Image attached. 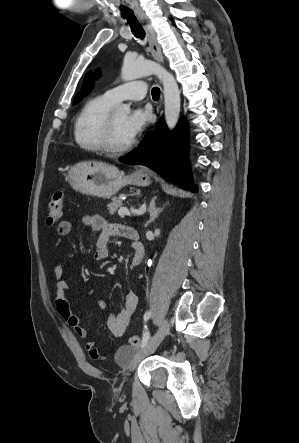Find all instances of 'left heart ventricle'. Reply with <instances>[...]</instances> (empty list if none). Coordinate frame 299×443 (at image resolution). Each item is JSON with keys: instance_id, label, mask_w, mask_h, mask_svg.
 Returning <instances> with one entry per match:
<instances>
[{"instance_id": "left-heart-ventricle-1", "label": "left heart ventricle", "mask_w": 299, "mask_h": 443, "mask_svg": "<svg viewBox=\"0 0 299 443\" xmlns=\"http://www.w3.org/2000/svg\"><path fill=\"white\" fill-rule=\"evenodd\" d=\"M125 119L126 115L124 114H113L114 143L117 146L126 145L132 140L124 131L123 124Z\"/></svg>"}]
</instances>
